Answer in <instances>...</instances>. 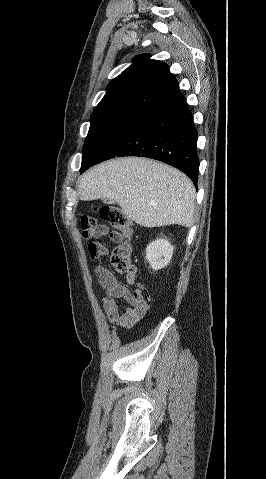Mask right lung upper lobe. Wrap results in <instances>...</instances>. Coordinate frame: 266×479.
Returning a JSON list of instances; mask_svg holds the SVG:
<instances>
[{"label": "right lung upper lobe", "instance_id": "obj_1", "mask_svg": "<svg viewBox=\"0 0 266 479\" xmlns=\"http://www.w3.org/2000/svg\"><path fill=\"white\" fill-rule=\"evenodd\" d=\"M133 61L108 84L105 96L91 116L120 110L141 111L178 87L167 64L150 59L149 54L138 55Z\"/></svg>", "mask_w": 266, "mask_h": 479}]
</instances>
